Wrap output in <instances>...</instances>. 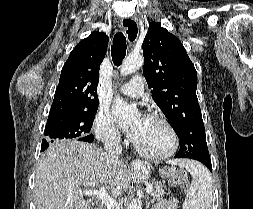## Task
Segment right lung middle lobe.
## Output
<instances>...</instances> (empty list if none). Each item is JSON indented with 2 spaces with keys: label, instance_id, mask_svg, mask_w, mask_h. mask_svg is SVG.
<instances>
[{
  "label": "right lung middle lobe",
  "instance_id": "obj_1",
  "mask_svg": "<svg viewBox=\"0 0 253 209\" xmlns=\"http://www.w3.org/2000/svg\"><path fill=\"white\" fill-rule=\"evenodd\" d=\"M98 106L73 112H63L48 117L45 126V139L42 140L41 150L44 151L49 144L61 139L73 138L86 141L93 135L89 134Z\"/></svg>",
  "mask_w": 253,
  "mask_h": 209
}]
</instances>
